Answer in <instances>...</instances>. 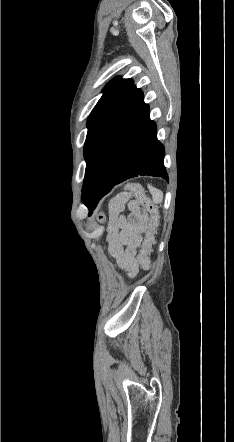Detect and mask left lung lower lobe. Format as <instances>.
Returning <instances> with one entry per match:
<instances>
[{
  "label": "left lung lower lobe",
  "instance_id": "obj_1",
  "mask_svg": "<svg viewBox=\"0 0 234 442\" xmlns=\"http://www.w3.org/2000/svg\"><path fill=\"white\" fill-rule=\"evenodd\" d=\"M164 153L149 106L133 85L85 142L83 202L92 212L116 184L138 175L168 180Z\"/></svg>",
  "mask_w": 234,
  "mask_h": 442
}]
</instances>
